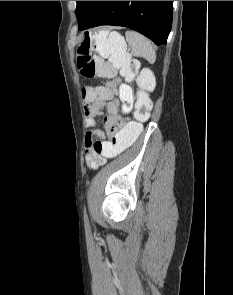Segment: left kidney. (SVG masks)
Listing matches in <instances>:
<instances>
[{"label":"left kidney","mask_w":233,"mask_h":295,"mask_svg":"<svg viewBox=\"0 0 233 295\" xmlns=\"http://www.w3.org/2000/svg\"><path fill=\"white\" fill-rule=\"evenodd\" d=\"M137 86L152 92L156 86V78L149 68H143L136 79Z\"/></svg>","instance_id":"5707ae66"}]
</instances>
